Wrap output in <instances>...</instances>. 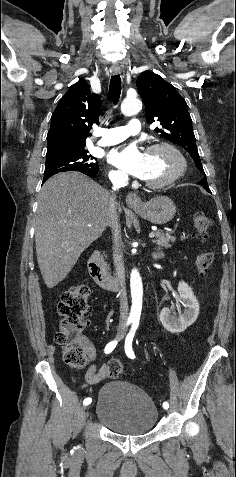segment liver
I'll list each match as a JSON object with an SVG mask.
<instances>
[{
    "mask_svg": "<svg viewBox=\"0 0 236 477\" xmlns=\"http://www.w3.org/2000/svg\"><path fill=\"white\" fill-rule=\"evenodd\" d=\"M111 197L108 190L78 172L59 173L44 183L36 213L35 243L48 288L63 281L82 252L102 235ZM117 210L121 212L119 205Z\"/></svg>",
    "mask_w": 236,
    "mask_h": 477,
    "instance_id": "obj_1",
    "label": "liver"
}]
</instances>
